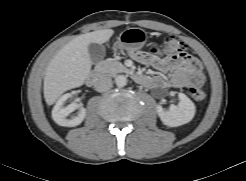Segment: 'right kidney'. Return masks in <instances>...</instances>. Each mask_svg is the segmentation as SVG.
I'll return each instance as SVG.
<instances>
[{"label": "right kidney", "instance_id": "1", "mask_svg": "<svg viewBox=\"0 0 246 181\" xmlns=\"http://www.w3.org/2000/svg\"><path fill=\"white\" fill-rule=\"evenodd\" d=\"M70 97V94L62 95L52 110V119L60 126L75 127L82 123L86 116V109L80 108L77 116L67 119V116L79 108L77 103H71L63 107L64 102Z\"/></svg>", "mask_w": 246, "mask_h": 181}]
</instances>
